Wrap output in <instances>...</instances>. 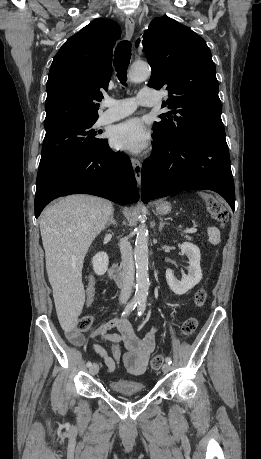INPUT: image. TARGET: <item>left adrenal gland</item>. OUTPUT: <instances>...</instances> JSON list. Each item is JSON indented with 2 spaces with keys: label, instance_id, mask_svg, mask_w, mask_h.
<instances>
[{
  "label": "left adrenal gland",
  "instance_id": "a2214340",
  "mask_svg": "<svg viewBox=\"0 0 261 459\" xmlns=\"http://www.w3.org/2000/svg\"><path fill=\"white\" fill-rule=\"evenodd\" d=\"M160 224H159V231H162L165 225H169V223L165 222L162 217H159Z\"/></svg>",
  "mask_w": 261,
  "mask_h": 459
}]
</instances>
